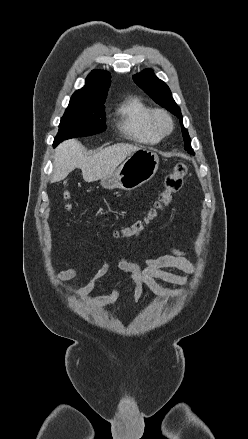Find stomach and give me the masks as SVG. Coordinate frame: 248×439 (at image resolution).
Here are the masks:
<instances>
[{"label": "stomach", "instance_id": "obj_1", "mask_svg": "<svg viewBox=\"0 0 248 439\" xmlns=\"http://www.w3.org/2000/svg\"><path fill=\"white\" fill-rule=\"evenodd\" d=\"M158 166V155L150 149L140 148L131 153L114 172L103 177L101 185L109 190H134L151 180Z\"/></svg>", "mask_w": 248, "mask_h": 439}]
</instances>
